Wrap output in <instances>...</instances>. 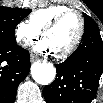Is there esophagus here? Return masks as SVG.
Here are the masks:
<instances>
[{
  "instance_id": "obj_1",
  "label": "esophagus",
  "mask_w": 103,
  "mask_h": 103,
  "mask_svg": "<svg viewBox=\"0 0 103 103\" xmlns=\"http://www.w3.org/2000/svg\"><path fill=\"white\" fill-rule=\"evenodd\" d=\"M30 59H31V62H35V61L38 60V57L35 56V55H33V54H31V55H30Z\"/></svg>"
}]
</instances>
